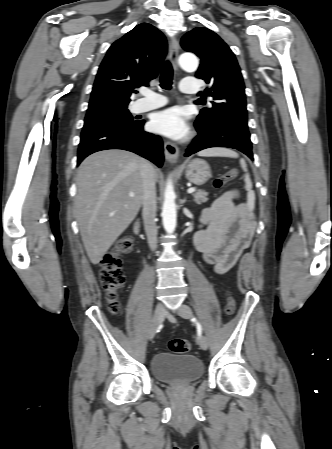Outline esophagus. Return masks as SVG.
I'll use <instances>...</instances> for the list:
<instances>
[{
    "mask_svg": "<svg viewBox=\"0 0 332 449\" xmlns=\"http://www.w3.org/2000/svg\"><path fill=\"white\" fill-rule=\"evenodd\" d=\"M178 52H179V43L176 38H173L169 44V59L175 70L178 69ZM164 152L165 157L169 162H175L179 155L178 147L175 144L168 141L165 142L164 144Z\"/></svg>",
    "mask_w": 332,
    "mask_h": 449,
    "instance_id": "obj_1",
    "label": "esophagus"
}]
</instances>
